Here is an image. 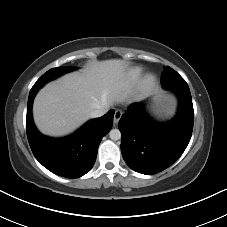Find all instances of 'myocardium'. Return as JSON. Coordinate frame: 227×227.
Returning a JSON list of instances; mask_svg holds the SVG:
<instances>
[{
	"mask_svg": "<svg viewBox=\"0 0 227 227\" xmlns=\"http://www.w3.org/2000/svg\"><path fill=\"white\" fill-rule=\"evenodd\" d=\"M157 81V77L154 74H148L144 77L143 84L145 87H152Z\"/></svg>",
	"mask_w": 227,
	"mask_h": 227,
	"instance_id": "f54148a6",
	"label": "myocardium"
}]
</instances>
